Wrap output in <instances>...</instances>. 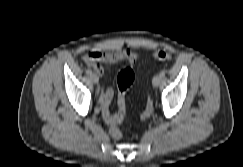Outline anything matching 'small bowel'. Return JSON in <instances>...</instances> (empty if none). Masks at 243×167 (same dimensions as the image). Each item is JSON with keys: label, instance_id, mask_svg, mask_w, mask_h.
<instances>
[{"label": "small bowel", "instance_id": "small-bowel-1", "mask_svg": "<svg viewBox=\"0 0 243 167\" xmlns=\"http://www.w3.org/2000/svg\"><path fill=\"white\" fill-rule=\"evenodd\" d=\"M139 59V54L134 49H116L113 51H101L94 50L85 54L82 57L83 62L91 69H93L98 76L103 75V65H112L119 61H124L130 65L135 64ZM114 92L110 88H99V100L101 115L106 124L111 125L112 123L119 122L120 111L116 113H111L110 103L113 98ZM118 105L119 104V94H118Z\"/></svg>", "mask_w": 243, "mask_h": 167}]
</instances>
